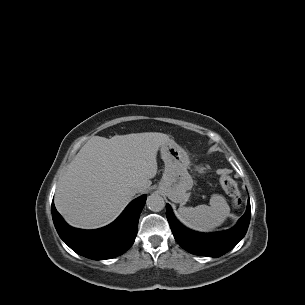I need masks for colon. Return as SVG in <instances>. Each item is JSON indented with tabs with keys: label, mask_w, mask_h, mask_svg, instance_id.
Listing matches in <instances>:
<instances>
[{
	"label": "colon",
	"mask_w": 305,
	"mask_h": 305,
	"mask_svg": "<svg viewBox=\"0 0 305 305\" xmlns=\"http://www.w3.org/2000/svg\"><path fill=\"white\" fill-rule=\"evenodd\" d=\"M220 185L224 192L230 197L234 205H239L241 196L236 182L229 174H223L220 177Z\"/></svg>",
	"instance_id": "obj_1"
}]
</instances>
